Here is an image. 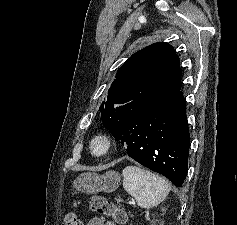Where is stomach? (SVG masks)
Returning a JSON list of instances; mask_svg holds the SVG:
<instances>
[{"label": "stomach", "instance_id": "1", "mask_svg": "<svg viewBox=\"0 0 237 225\" xmlns=\"http://www.w3.org/2000/svg\"><path fill=\"white\" fill-rule=\"evenodd\" d=\"M121 183V176L116 171H108L103 175L86 172L80 174L73 182V187L87 194L114 192Z\"/></svg>", "mask_w": 237, "mask_h": 225}]
</instances>
